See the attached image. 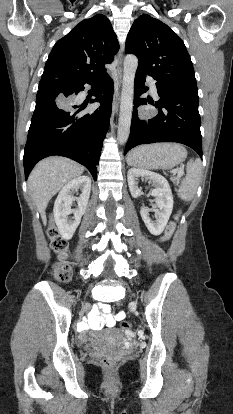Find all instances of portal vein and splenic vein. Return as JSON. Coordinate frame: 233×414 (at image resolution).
<instances>
[{
    "mask_svg": "<svg viewBox=\"0 0 233 414\" xmlns=\"http://www.w3.org/2000/svg\"><path fill=\"white\" fill-rule=\"evenodd\" d=\"M171 173H178L179 175H181L182 173H183V168H181V169H178V170H172V171H170Z\"/></svg>",
    "mask_w": 233,
    "mask_h": 414,
    "instance_id": "obj_1",
    "label": "portal vein and splenic vein"
}]
</instances>
